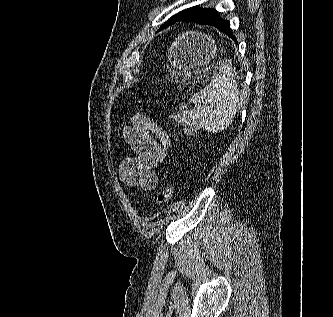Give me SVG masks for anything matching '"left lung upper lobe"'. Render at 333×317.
I'll list each match as a JSON object with an SVG mask.
<instances>
[{"label": "left lung upper lobe", "instance_id": "5c2ea615", "mask_svg": "<svg viewBox=\"0 0 333 317\" xmlns=\"http://www.w3.org/2000/svg\"><path fill=\"white\" fill-rule=\"evenodd\" d=\"M198 7H192L190 9H185L175 15H173L166 23L161 25L160 30L168 27L169 25L173 24L174 22L180 20L184 15L188 14L190 11L196 9Z\"/></svg>", "mask_w": 333, "mask_h": 317}]
</instances>
